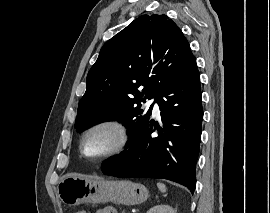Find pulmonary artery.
Segmentation results:
<instances>
[{
  "label": "pulmonary artery",
  "instance_id": "e3ab8cb5",
  "mask_svg": "<svg viewBox=\"0 0 270 213\" xmlns=\"http://www.w3.org/2000/svg\"><path fill=\"white\" fill-rule=\"evenodd\" d=\"M148 105L153 104V112L156 116L159 115V106L155 98H151L148 102Z\"/></svg>",
  "mask_w": 270,
  "mask_h": 213
}]
</instances>
